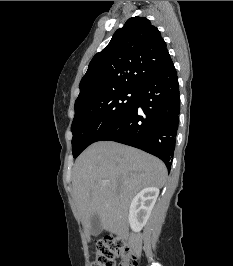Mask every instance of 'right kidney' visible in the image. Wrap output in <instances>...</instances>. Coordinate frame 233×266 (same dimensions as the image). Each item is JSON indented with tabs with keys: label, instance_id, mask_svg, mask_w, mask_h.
<instances>
[{
	"label": "right kidney",
	"instance_id": "obj_1",
	"mask_svg": "<svg viewBox=\"0 0 233 266\" xmlns=\"http://www.w3.org/2000/svg\"><path fill=\"white\" fill-rule=\"evenodd\" d=\"M158 195V188L146 187L131 201L128 219L134 232H139L146 224Z\"/></svg>",
	"mask_w": 233,
	"mask_h": 266
}]
</instances>
